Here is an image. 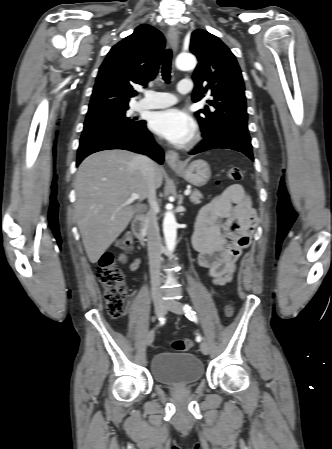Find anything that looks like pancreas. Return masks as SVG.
Segmentation results:
<instances>
[{
    "label": "pancreas",
    "mask_w": 332,
    "mask_h": 449,
    "mask_svg": "<svg viewBox=\"0 0 332 449\" xmlns=\"http://www.w3.org/2000/svg\"><path fill=\"white\" fill-rule=\"evenodd\" d=\"M203 198L202 194L198 190H194L192 194L190 195V201L193 204H200L201 199Z\"/></svg>",
    "instance_id": "pancreas-1"
}]
</instances>
